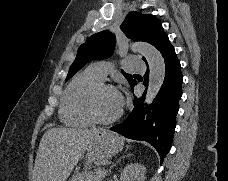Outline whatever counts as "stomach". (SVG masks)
Masks as SVG:
<instances>
[{
    "mask_svg": "<svg viewBox=\"0 0 228 181\" xmlns=\"http://www.w3.org/2000/svg\"><path fill=\"white\" fill-rule=\"evenodd\" d=\"M123 147V139L111 133V131H99L93 137L91 145H88L86 149V155L84 157L85 169H92L91 165L94 161H105V159H111L116 153H119Z\"/></svg>",
    "mask_w": 228,
    "mask_h": 181,
    "instance_id": "obj_1",
    "label": "stomach"
}]
</instances>
